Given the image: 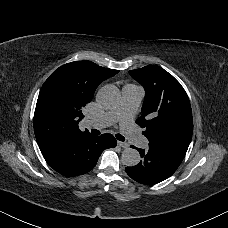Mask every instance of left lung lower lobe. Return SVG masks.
Returning a JSON list of instances; mask_svg holds the SVG:
<instances>
[{
	"mask_svg": "<svg viewBox=\"0 0 228 228\" xmlns=\"http://www.w3.org/2000/svg\"><path fill=\"white\" fill-rule=\"evenodd\" d=\"M136 149L142 160L137 165L127 167L125 170L132 179L147 185L159 183L170 177L186 154V151L160 142H149L146 150Z\"/></svg>",
	"mask_w": 228,
	"mask_h": 228,
	"instance_id": "0a47b994",
	"label": "left lung lower lobe"
}]
</instances>
